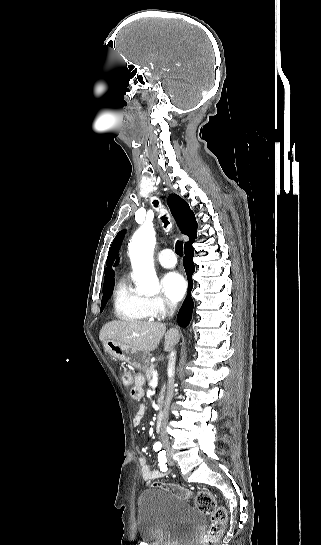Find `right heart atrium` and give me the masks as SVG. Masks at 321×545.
I'll return each instance as SVG.
<instances>
[{
	"instance_id": "1",
	"label": "right heart atrium",
	"mask_w": 321,
	"mask_h": 545,
	"mask_svg": "<svg viewBox=\"0 0 321 545\" xmlns=\"http://www.w3.org/2000/svg\"><path fill=\"white\" fill-rule=\"evenodd\" d=\"M143 303H144V307L147 311L148 316L151 319H155V320H162L169 313L175 310V306L173 304L168 303L163 299L150 300V301L144 300Z\"/></svg>"
}]
</instances>
